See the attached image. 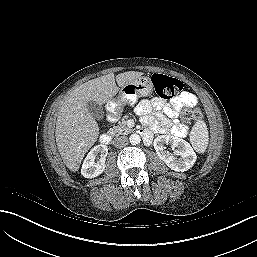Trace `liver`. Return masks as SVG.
<instances>
[{
  "instance_id": "obj_1",
  "label": "liver",
  "mask_w": 257,
  "mask_h": 257,
  "mask_svg": "<svg viewBox=\"0 0 257 257\" xmlns=\"http://www.w3.org/2000/svg\"><path fill=\"white\" fill-rule=\"evenodd\" d=\"M142 75V72L128 71L115 79L110 73L80 85L68 95L60 107L55 130L57 148L67 168L78 171L86 152L99 136L98 123L88 112L87 103L95 101L103 105L118 93L119 87Z\"/></svg>"
}]
</instances>
